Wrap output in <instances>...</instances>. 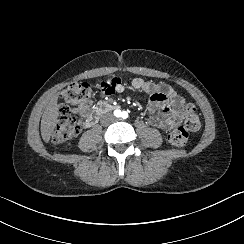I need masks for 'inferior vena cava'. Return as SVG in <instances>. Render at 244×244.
<instances>
[{"label":"inferior vena cava","instance_id":"1","mask_svg":"<svg viewBox=\"0 0 244 244\" xmlns=\"http://www.w3.org/2000/svg\"><path fill=\"white\" fill-rule=\"evenodd\" d=\"M103 118H111L108 114L104 115ZM115 119V118H114ZM105 120V119H104Z\"/></svg>","mask_w":244,"mask_h":244}]
</instances>
